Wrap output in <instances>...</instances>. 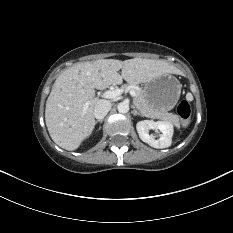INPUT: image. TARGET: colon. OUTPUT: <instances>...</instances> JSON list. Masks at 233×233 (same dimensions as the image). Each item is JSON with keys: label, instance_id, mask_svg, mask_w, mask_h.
<instances>
[{"label": "colon", "instance_id": "obj_1", "mask_svg": "<svg viewBox=\"0 0 233 233\" xmlns=\"http://www.w3.org/2000/svg\"><path fill=\"white\" fill-rule=\"evenodd\" d=\"M177 113L180 117L181 124L186 126L189 124L191 116V105L188 100H182L177 105Z\"/></svg>", "mask_w": 233, "mask_h": 233}]
</instances>
